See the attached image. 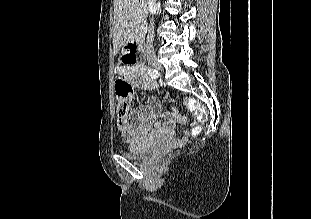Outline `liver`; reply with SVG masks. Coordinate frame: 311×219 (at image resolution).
Instances as JSON below:
<instances>
[{"mask_svg":"<svg viewBox=\"0 0 311 219\" xmlns=\"http://www.w3.org/2000/svg\"><path fill=\"white\" fill-rule=\"evenodd\" d=\"M148 0H114V52L133 41L145 21Z\"/></svg>","mask_w":311,"mask_h":219,"instance_id":"1","label":"liver"}]
</instances>
